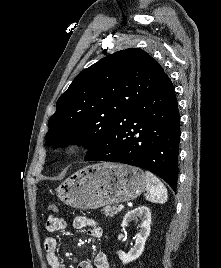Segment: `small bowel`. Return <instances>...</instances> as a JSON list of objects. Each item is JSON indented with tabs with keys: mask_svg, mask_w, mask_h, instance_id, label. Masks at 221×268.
<instances>
[{
	"mask_svg": "<svg viewBox=\"0 0 221 268\" xmlns=\"http://www.w3.org/2000/svg\"><path fill=\"white\" fill-rule=\"evenodd\" d=\"M67 222L57 216H49L46 221V229L49 232H62L67 229ZM72 227L76 230H86L87 233L93 238H101L103 231L100 225L85 216H77L72 222ZM44 248L46 252V259L51 268H65L61 262L57 250L58 241L54 236H48L44 240ZM77 268H109V261L106 254L100 251L96 254L94 261L89 260L81 261Z\"/></svg>",
	"mask_w": 221,
	"mask_h": 268,
	"instance_id": "obj_1",
	"label": "small bowel"
}]
</instances>
